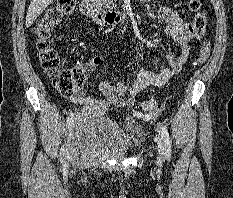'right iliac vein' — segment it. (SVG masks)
I'll return each mask as SVG.
<instances>
[{
    "label": "right iliac vein",
    "mask_w": 233,
    "mask_h": 198,
    "mask_svg": "<svg viewBox=\"0 0 233 198\" xmlns=\"http://www.w3.org/2000/svg\"><path fill=\"white\" fill-rule=\"evenodd\" d=\"M70 131H71V127H70ZM72 155H73V149L71 146V142L70 140L68 141V148L66 150V157L68 160L72 159Z\"/></svg>",
    "instance_id": "1"
}]
</instances>
